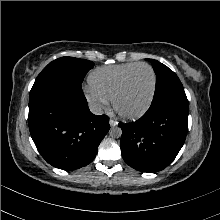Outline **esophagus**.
Wrapping results in <instances>:
<instances>
[{"instance_id": "esophagus-1", "label": "esophagus", "mask_w": 220, "mask_h": 220, "mask_svg": "<svg viewBox=\"0 0 220 220\" xmlns=\"http://www.w3.org/2000/svg\"><path fill=\"white\" fill-rule=\"evenodd\" d=\"M109 124H110V126L114 127V126L118 125V122L116 120H114V119H110L109 120Z\"/></svg>"}]
</instances>
